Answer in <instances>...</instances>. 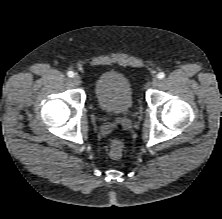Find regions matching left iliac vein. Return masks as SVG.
<instances>
[{
  "label": "left iliac vein",
  "instance_id": "left-iliac-vein-1",
  "mask_svg": "<svg viewBox=\"0 0 222 219\" xmlns=\"http://www.w3.org/2000/svg\"><path fill=\"white\" fill-rule=\"evenodd\" d=\"M159 84V79L157 77H154L151 81V86L156 87Z\"/></svg>",
  "mask_w": 222,
  "mask_h": 219
}]
</instances>
